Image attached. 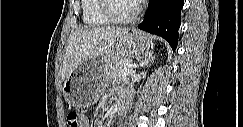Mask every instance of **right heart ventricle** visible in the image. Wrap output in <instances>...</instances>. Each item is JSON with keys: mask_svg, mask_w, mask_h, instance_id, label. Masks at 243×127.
Masks as SVG:
<instances>
[{"mask_svg": "<svg viewBox=\"0 0 243 127\" xmlns=\"http://www.w3.org/2000/svg\"><path fill=\"white\" fill-rule=\"evenodd\" d=\"M82 20L89 27L107 25L110 20L103 14L101 0H82Z\"/></svg>", "mask_w": 243, "mask_h": 127, "instance_id": "obj_1", "label": "right heart ventricle"}]
</instances>
